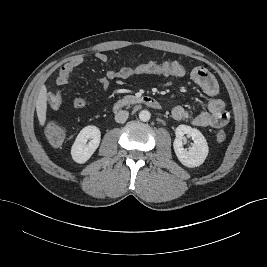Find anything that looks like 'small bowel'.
<instances>
[{"mask_svg":"<svg viewBox=\"0 0 267 267\" xmlns=\"http://www.w3.org/2000/svg\"><path fill=\"white\" fill-rule=\"evenodd\" d=\"M96 57L105 64L108 62V58L104 53L99 52ZM83 62L84 58L78 55L60 68L56 79L58 89L47 95V103L51 108L57 109L60 107L62 103L61 88L69 84L71 75ZM190 78L211 99L205 108L195 115L185 107L176 106L172 110L173 118L189 121L192 125L198 127L219 128L226 125L229 121V114L225 110L224 101L216 97L219 92V85L215 77L207 69L197 66L191 70ZM115 79H119L118 71L107 70L99 79L103 91H106L109 88L110 82ZM88 105L89 101L86 98L77 97L73 100V107L76 109H82Z\"/></svg>","mask_w":267,"mask_h":267,"instance_id":"c3829d8e","label":"small bowel"}]
</instances>
